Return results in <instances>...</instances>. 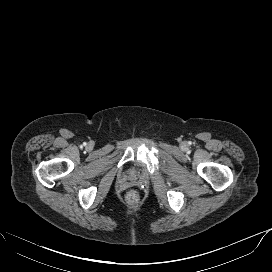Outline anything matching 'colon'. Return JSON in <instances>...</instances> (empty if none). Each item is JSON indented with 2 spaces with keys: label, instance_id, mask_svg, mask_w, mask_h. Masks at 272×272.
<instances>
[{
  "label": "colon",
  "instance_id": "1",
  "mask_svg": "<svg viewBox=\"0 0 272 272\" xmlns=\"http://www.w3.org/2000/svg\"><path fill=\"white\" fill-rule=\"evenodd\" d=\"M126 199L129 203H136L139 200V194L135 190H131L127 193Z\"/></svg>",
  "mask_w": 272,
  "mask_h": 272
}]
</instances>
